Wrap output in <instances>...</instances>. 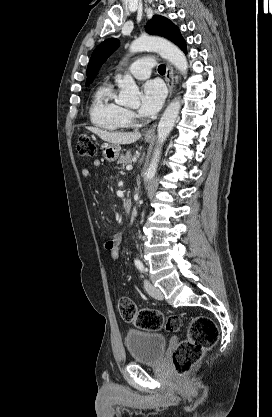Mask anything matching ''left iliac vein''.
I'll return each instance as SVG.
<instances>
[{"label": "left iliac vein", "instance_id": "4c4485c4", "mask_svg": "<svg viewBox=\"0 0 272 417\" xmlns=\"http://www.w3.org/2000/svg\"><path fill=\"white\" fill-rule=\"evenodd\" d=\"M144 286H145V289L150 296H152L153 298H155L157 300H162L163 299V294H162L161 290L158 287L151 284L148 280L144 281Z\"/></svg>", "mask_w": 272, "mask_h": 417}]
</instances>
